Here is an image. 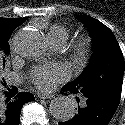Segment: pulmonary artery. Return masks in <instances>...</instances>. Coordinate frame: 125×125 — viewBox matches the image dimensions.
Here are the masks:
<instances>
[{
  "mask_svg": "<svg viewBox=\"0 0 125 125\" xmlns=\"http://www.w3.org/2000/svg\"><path fill=\"white\" fill-rule=\"evenodd\" d=\"M50 43L56 50L61 49L64 46V42L60 40H52Z\"/></svg>",
  "mask_w": 125,
  "mask_h": 125,
  "instance_id": "1",
  "label": "pulmonary artery"
}]
</instances>
